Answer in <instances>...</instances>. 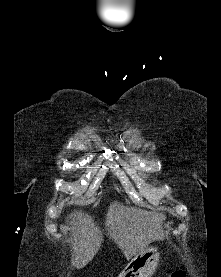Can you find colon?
Listing matches in <instances>:
<instances>
[{"label":"colon","mask_w":221,"mask_h":277,"mask_svg":"<svg viewBox=\"0 0 221 277\" xmlns=\"http://www.w3.org/2000/svg\"><path fill=\"white\" fill-rule=\"evenodd\" d=\"M170 277H185L183 271H174L171 273Z\"/></svg>","instance_id":"obj_1"}]
</instances>
